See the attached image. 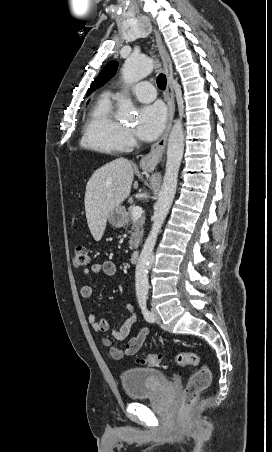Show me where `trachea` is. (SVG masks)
I'll use <instances>...</instances> for the list:
<instances>
[{
  "instance_id": "trachea-1",
  "label": "trachea",
  "mask_w": 272,
  "mask_h": 452,
  "mask_svg": "<svg viewBox=\"0 0 272 452\" xmlns=\"http://www.w3.org/2000/svg\"><path fill=\"white\" fill-rule=\"evenodd\" d=\"M157 85L159 89L165 90L166 88V76L162 73H160L157 77Z\"/></svg>"
}]
</instances>
